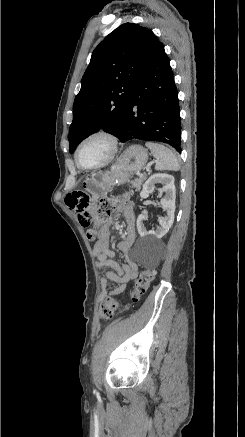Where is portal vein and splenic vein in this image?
<instances>
[{
    "label": "portal vein and splenic vein",
    "mask_w": 245,
    "mask_h": 437,
    "mask_svg": "<svg viewBox=\"0 0 245 437\" xmlns=\"http://www.w3.org/2000/svg\"><path fill=\"white\" fill-rule=\"evenodd\" d=\"M150 167H151V163L148 164V165L146 166V169H147V170H150ZM138 176H139V177H142L143 174H142V173H139Z\"/></svg>",
    "instance_id": "obj_1"
}]
</instances>
